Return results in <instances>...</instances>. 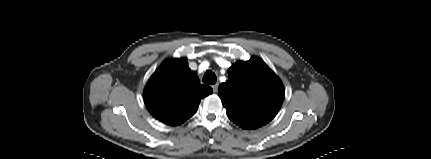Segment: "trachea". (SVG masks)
Listing matches in <instances>:
<instances>
[{
  "label": "trachea",
  "mask_w": 431,
  "mask_h": 159,
  "mask_svg": "<svg viewBox=\"0 0 431 159\" xmlns=\"http://www.w3.org/2000/svg\"><path fill=\"white\" fill-rule=\"evenodd\" d=\"M216 80H217V77L214 72H212L211 70H208L205 72L203 76V83L212 85L216 83Z\"/></svg>",
  "instance_id": "3493384b"
}]
</instances>
